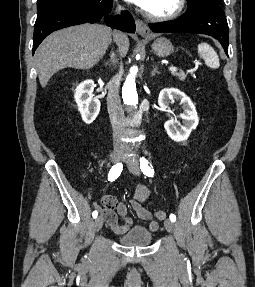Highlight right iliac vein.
<instances>
[{
    "mask_svg": "<svg viewBox=\"0 0 255 287\" xmlns=\"http://www.w3.org/2000/svg\"><path fill=\"white\" fill-rule=\"evenodd\" d=\"M124 153V149L122 147H116L111 153L110 159L112 163H117ZM103 226V218L102 216H98L94 222V231L98 232Z\"/></svg>",
    "mask_w": 255,
    "mask_h": 287,
    "instance_id": "63e3f726",
    "label": "right iliac vein"
}]
</instances>
